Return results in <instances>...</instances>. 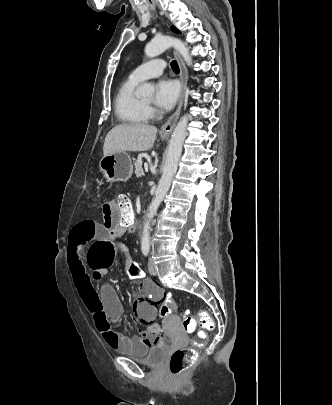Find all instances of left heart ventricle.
Wrapping results in <instances>:
<instances>
[{
    "label": "left heart ventricle",
    "instance_id": "1",
    "mask_svg": "<svg viewBox=\"0 0 332 405\" xmlns=\"http://www.w3.org/2000/svg\"><path fill=\"white\" fill-rule=\"evenodd\" d=\"M152 98H150V99H147V100H145V102H147V103H150V102H152Z\"/></svg>",
    "mask_w": 332,
    "mask_h": 405
}]
</instances>
